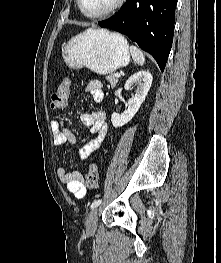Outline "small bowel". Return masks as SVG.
Returning <instances> with one entry per match:
<instances>
[{"instance_id":"obj_1","label":"small bowel","mask_w":221,"mask_h":263,"mask_svg":"<svg viewBox=\"0 0 221 263\" xmlns=\"http://www.w3.org/2000/svg\"><path fill=\"white\" fill-rule=\"evenodd\" d=\"M85 90L95 102H102L104 93L102 83L100 81H90L86 85ZM82 122L90 129V132L95 135V137L89 143H87L80 149V157L82 159H87L100 147L101 143L107 135L108 126L106 123V115L102 111H95L89 114H84L82 116ZM51 126L54 134L55 146L74 144L76 142L75 135L68 127L62 125L57 121H53ZM57 175L60 181L74 195L75 199L80 200L84 197L85 187L83 184V176L79 171L73 170L68 172L64 167L60 166L57 169Z\"/></svg>"}]
</instances>
